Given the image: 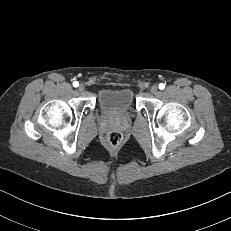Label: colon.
I'll return each mask as SVG.
<instances>
[{
	"label": "colon",
	"instance_id": "1",
	"mask_svg": "<svg viewBox=\"0 0 231 231\" xmlns=\"http://www.w3.org/2000/svg\"><path fill=\"white\" fill-rule=\"evenodd\" d=\"M122 142V134L119 131L113 130L107 134V143L111 147H117Z\"/></svg>",
	"mask_w": 231,
	"mask_h": 231
}]
</instances>
